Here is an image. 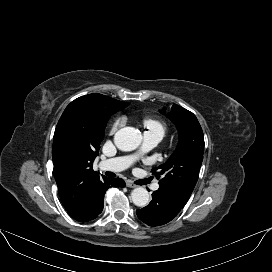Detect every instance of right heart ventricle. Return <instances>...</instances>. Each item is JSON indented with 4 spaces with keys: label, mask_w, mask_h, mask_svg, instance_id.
Wrapping results in <instances>:
<instances>
[{
    "label": "right heart ventricle",
    "mask_w": 272,
    "mask_h": 272,
    "mask_svg": "<svg viewBox=\"0 0 272 272\" xmlns=\"http://www.w3.org/2000/svg\"><path fill=\"white\" fill-rule=\"evenodd\" d=\"M144 124H145V128L148 131H159V132L164 133V130H165L164 125L156 119H147L144 122Z\"/></svg>",
    "instance_id": "right-heart-ventricle-1"
}]
</instances>
